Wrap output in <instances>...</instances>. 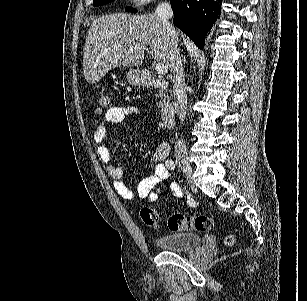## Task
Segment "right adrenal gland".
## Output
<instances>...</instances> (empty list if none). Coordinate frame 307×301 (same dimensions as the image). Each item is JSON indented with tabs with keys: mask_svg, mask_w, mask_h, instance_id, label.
<instances>
[{
	"mask_svg": "<svg viewBox=\"0 0 307 301\" xmlns=\"http://www.w3.org/2000/svg\"><path fill=\"white\" fill-rule=\"evenodd\" d=\"M183 62H184V64H185V62H186V56H183Z\"/></svg>",
	"mask_w": 307,
	"mask_h": 301,
	"instance_id": "right-adrenal-gland-1",
	"label": "right adrenal gland"
}]
</instances>
